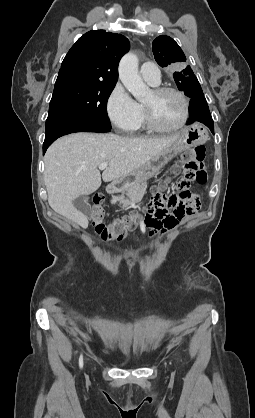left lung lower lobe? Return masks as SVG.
<instances>
[{"instance_id": "0a47b994", "label": "left lung lower lobe", "mask_w": 255, "mask_h": 418, "mask_svg": "<svg viewBox=\"0 0 255 418\" xmlns=\"http://www.w3.org/2000/svg\"><path fill=\"white\" fill-rule=\"evenodd\" d=\"M205 124L214 134V124L205 97L192 98L189 104V120L187 125L193 122Z\"/></svg>"}]
</instances>
